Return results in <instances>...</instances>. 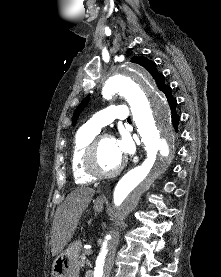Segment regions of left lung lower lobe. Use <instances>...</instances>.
Here are the masks:
<instances>
[{
	"mask_svg": "<svg viewBox=\"0 0 221 277\" xmlns=\"http://www.w3.org/2000/svg\"><path fill=\"white\" fill-rule=\"evenodd\" d=\"M163 93L165 94L167 101L169 103L170 109H171V113H172V122L174 124V127L177 129V125L179 122V116L176 113V105H177V101L176 99H174V97L171 94V87L167 86L165 88V90L163 91Z\"/></svg>",
	"mask_w": 221,
	"mask_h": 277,
	"instance_id": "0a47b994",
	"label": "left lung lower lobe"
}]
</instances>
